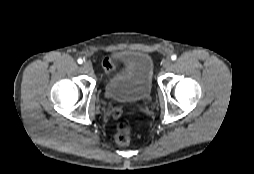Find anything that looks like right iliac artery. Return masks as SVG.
I'll return each mask as SVG.
<instances>
[{
  "label": "right iliac artery",
  "instance_id": "82829eb1",
  "mask_svg": "<svg viewBox=\"0 0 254 174\" xmlns=\"http://www.w3.org/2000/svg\"><path fill=\"white\" fill-rule=\"evenodd\" d=\"M77 62H78L79 64H82V63H83V60H82V59H78Z\"/></svg>",
  "mask_w": 254,
  "mask_h": 174
}]
</instances>
